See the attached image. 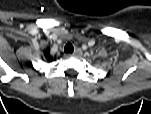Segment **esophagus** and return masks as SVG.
I'll return each mask as SVG.
<instances>
[{"instance_id": "1", "label": "esophagus", "mask_w": 151, "mask_h": 114, "mask_svg": "<svg viewBox=\"0 0 151 114\" xmlns=\"http://www.w3.org/2000/svg\"><path fill=\"white\" fill-rule=\"evenodd\" d=\"M83 54L81 49H76L72 54L74 57H80Z\"/></svg>"}]
</instances>
